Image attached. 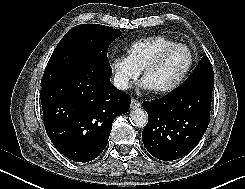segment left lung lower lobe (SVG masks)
Here are the masks:
<instances>
[{"label":"left lung lower lobe","instance_id":"1","mask_svg":"<svg viewBox=\"0 0 245 189\" xmlns=\"http://www.w3.org/2000/svg\"><path fill=\"white\" fill-rule=\"evenodd\" d=\"M213 87L188 82L161 99L143 102L149 120L142 140L152 156L176 160L199 143L209 124Z\"/></svg>","mask_w":245,"mask_h":189}]
</instances>
